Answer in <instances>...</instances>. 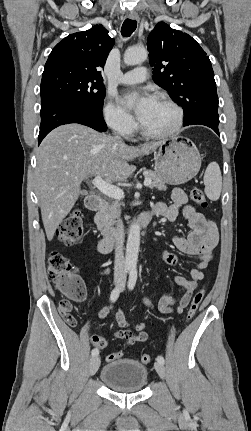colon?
<instances>
[{
    "mask_svg": "<svg viewBox=\"0 0 251 431\" xmlns=\"http://www.w3.org/2000/svg\"><path fill=\"white\" fill-rule=\"evenodd\" d=\"M191 199L201 207H207L208 202L202 190L194 187L190 192ZM83 232V214L81 210L72 211L60 224L57 229V238L64 245L70 246L77 243ZM48 273L54 281L57 289L67 295L71 300L82 301L85 298V287L82 280L76 273L75 267L71 264L70 260L58 251H52L48 257ZM204 290H199L192 299L188 309L186 319L191 320L204 297ZM72 303L69 300H62L59 304V311L64 320L70 325L75 326L76 321L71 315ZM92 349L95 346L100 352L106 349L107 341L105 338L94 335L90 339ZM122 356V352L108 353L106 364L117 362L118 358ZM141 361L148 364L151 361L149 354H143Z\"/></svg>",
    "mask_w": 251,
    "mask_h": 431,
    "instance_id": "5ec220e1",
    "label": "colon"
}]
</instances>
